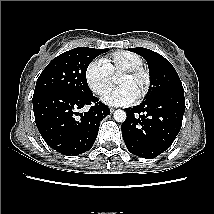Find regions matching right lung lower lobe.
Wrapping results in <instances>:
<instances>
[{"label": "right lung lower lobe", "instance_id": "obj_1", "mask_svg": "<svg viewBox=\"0 0 214 214\" xmlns=\"http://www.w3.org/2000/svg\"><path fill=\"white\" fill-rule=\"evenodd\" d=\"M93 96L46 92L33 96L36 126L45 142L63 155H78L91 149L100 121L109 108ZM91 106L85 113L78 110Z\"/></svg>", "mask_w": 214, "mask_h": 214}]
</instances>
